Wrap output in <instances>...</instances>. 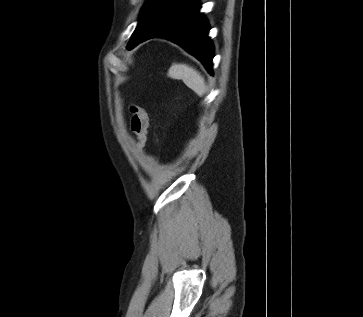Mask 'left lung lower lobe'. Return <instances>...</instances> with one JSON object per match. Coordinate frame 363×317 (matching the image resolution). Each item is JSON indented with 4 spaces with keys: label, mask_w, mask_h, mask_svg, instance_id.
<instances>
[{
    "label": "left lung lower lobe",
    "mask_w": 363,
    "mask_h": 317,
    "mask_svg": "<svg viewBox=\"0 0 363 317\" xmlns=\"http://www.w3.org/2000/svg\"><path fill=\"white\" fill-rule=\"evenodd\" d=\"M199 9L198 0H158L144 34L127 49L153 37H164L198 58L212 74L213 45L207 37L208 23Z\"/></svg>",
    "instance_id": "0a47b994"
}]
</instances>
